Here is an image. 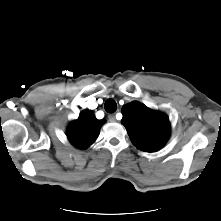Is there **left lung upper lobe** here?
I'll return each instance as SVG.
<instances>
[{"label": "left lung upper lobe", "mask_w": 221, "mask_h": 221, "mask_svg": "<svg viewBox=\"0 0 221 221\" xmlns=\"http://www.w3.org/2000/svg\"><path fill=\"white\" fill-rule=\"evenodd\" d=\"M122 114V124L138 149L155 152L165 145L170 135V123L165 114L137 101L124 105Z\"/></svg>", "instance_id": "obj_1"}]
</instances>
